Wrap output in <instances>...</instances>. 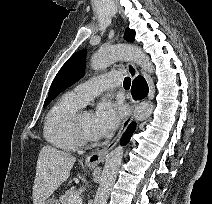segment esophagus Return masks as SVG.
Returning a JSON list of instances; mask_svg holds the SVG:
<instances>
[{
	"label": "esophagus",
	"mask_w": 212,
	"mask_h": 204,
	"mask_svg": "<svg viewBox=\"0 0 212 204\" xmlns=\"http://www.w3.org/2000/svg\"><path fill=\"white\" fill-rule=\"evenodd\" d=\"M126 68L129 73V76L131 77L132 80H134L139 74L135 64L133 62L129 61L126 63ZM129 103H130L129 113L126 116V118L123 120L122 125H121L117 135L107 146H105L104 148H102L101 150H99L97 152H93V153L89 154L85 158V164L87 166L95 167L98 164H100L104 160L105 156L109 153V151H111L114 148V146L118 143L121 136L123 135V133L125 132L127 127L132 122L133 113H134V110L136 108L138 101H136L132 97H130Z\"/></svg>",
	"instance_id": "1"
}]
</instances>
